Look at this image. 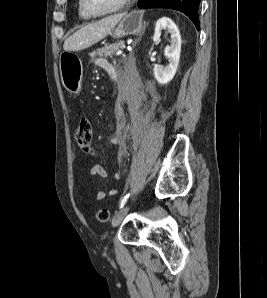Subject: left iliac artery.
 Here are the masks:
<instances>
[{
    "instance_id": "left-iliac-artery-1",
    "label": "left iliac artery",
    "mask_w": 267,
    "mask_h": 298,
    "mask_svg": "<svg viewBox=\"0 0 267 298\" xmlns=\"http://www.w3.org/2000/svg\"><path fill=\"white\" fill-rule=\"evenodd\" d=\"M129 196H130V193H127V194L123 197V199L121 200L120 205H119V208H120V209L126 204L128 198H129Z\"/></svg>"
}]
</instances>
